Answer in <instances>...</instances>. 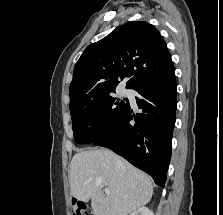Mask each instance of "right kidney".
Here are the masks:
<instances>
[{
    "label": "right kidney",
    "mask_w": 223,
    "mask_h": 215,
    "mask_svg": "<svg viewBox=\"0 0 223 215\" xmlns=\"http://www.w3.org/2000/svg\"><path fill=\"white\" fill-rule=\"evenodd\" d=\"M129 215H154L153 211L151 209H148V207H138L136 211H132V213H129Z\"/></svg>",
    "instance_id": "obj_1"
}]
</instances>
